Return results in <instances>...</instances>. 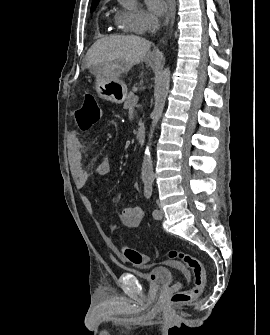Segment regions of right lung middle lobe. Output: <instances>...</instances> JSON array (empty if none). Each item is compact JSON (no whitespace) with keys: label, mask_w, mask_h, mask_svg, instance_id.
Listing matches in <instances>:
<instances>
[{"label":"right lung middle lobe","mask_w":270,"mask_h":335,"mask_svg":"<svg viewBox=\"0 0 270 335\" xmlns=\"http://www.w3.org/2000/svg\"><path fill=\"white\" fill-rule=\"evenodd\" d=\"M95 6H96V4H93L91 10H93L95 8Z\"/></svg>","instance_id":"right-lung-middle-lobe-1"}]
</instances>
